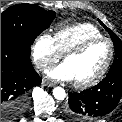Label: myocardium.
Listing matches in <instances>:
<instances>
[{
	"mask_svg": "<svg viewBox=\"0 0 122 122\" xmlns=\"http://www.w3.org/2000/svg\"><path fill=\"white\" fill-rule=\"evenodd\" d=\"M105 41L109 45V55L107 57L106 62L104 63L103 67L100 69V71L91 79L83 81V82H73V85L78 88V89H86L89 87H92L99 83L109 70L114 53H115V47L113 41L105 36H100V37H95V38H90L88 40H85L84 42L78 44L77 46L69 49L63 54V61H65L68 57L71 56H77L83 53L87 48H89L91 45L96 44L98 42Z\"/></svg>",
	"mask_w": 122,
	"mask_h": 122,
	"instance_id": "f54148a6",
	"label": "myocardium"
}]
</instances>
